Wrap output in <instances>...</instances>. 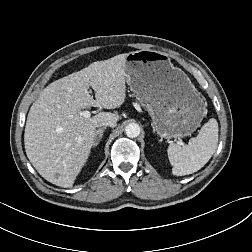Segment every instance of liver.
Returning <instances> with one entry per match:
<instances>
[{"mask_svg":"<svg viewBox=\"0 0 252 252\" xmlns=\"http://www.w3.org/2000/svg\"><path fill=\"white\" fill-rule=\"evenodd\" d=\"M125 57L119 54L93 62L52 82L32 104L25 126V151L37 172L50 183L71 188L90 155L98 124L120 119L110 112L90 118L78 112L91 106L115 109L124 103Z\"/></svg>","mask_w":252,"mask_h":252,"instance_id":"liver-1","label":"liver"}]
</instances>
